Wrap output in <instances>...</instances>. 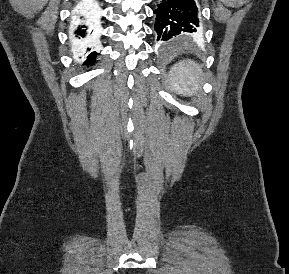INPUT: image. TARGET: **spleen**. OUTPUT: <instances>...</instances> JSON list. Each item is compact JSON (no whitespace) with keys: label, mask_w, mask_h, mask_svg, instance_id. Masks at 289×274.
Segmentation results:
<instances>
[{"label":"spleen","mask_w":289,"mask_h":274,"mask_svg":"<svg viewBox=\"0 0 289 274\" xmlns=\"http://www.w3.org/2000/svg\"><path fill=\"white\" fill-rule=\"evenodd\" d=\"M201 73V67L194 61L179 62L170 71L169 87L184 96L196 94L202 82Z\"/></svg>","instance_id":"1"}]
</instances>
